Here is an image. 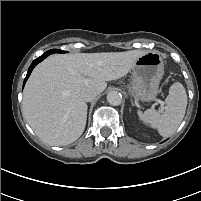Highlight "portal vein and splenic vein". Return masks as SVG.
I'll list each match as a JSON object with an SVG mask.
<instances>
[{
    "instance_id": "portal-vein-and-splenic-vein-1",
    "label": "portal vein and splenic vein",
    "mask_w": 201,
    "mask_h": 201,
    "mask_svg": "<svg viewBox=\"0 0 201 201\" xmlns=\"http://www.w3.org/2000/svg\"><path fill=\"white\" fill-rule=\"evenodd\" d=\"M159 103H162L160 100L158 101ZM164 108L163 107H161V111L163 110Z\"/></svg>"
}]
</instances>
